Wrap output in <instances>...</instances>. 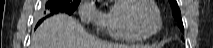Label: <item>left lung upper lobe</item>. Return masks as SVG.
Wrapping results in <instances>:
<instances>
[{"instance_id": "1", "label": "left lung upper lobe", "mask_w": 213, "mask_h": 48, "mask_svg": "<svg viewBox=\"0 0 213 48\" xmlns=\"http://www.w3.org/2000/svg\"><path fill=\"white\" fill-rule=\"evenodd\" d=\"M172 10H173V14L175 19L177 20L178 24H179V28L184 31L183 28V23H182V19H181V13H180V9L178 7V4L176 2V0H169Z\"/></svg>"}]
</instances>
